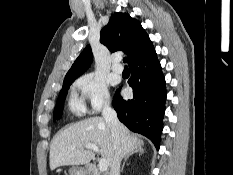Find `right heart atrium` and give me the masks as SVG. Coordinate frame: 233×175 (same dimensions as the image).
I'll return each mask as SVG.
<instances>
[{
  "label": "right heart atrium",
  "instance_id": "1",
  "mask_svg": "<svg viewBox=\"0 0 233 175\" xmlns=\"http://www.w3.org/2000/svg\"><path fill=\"white\" fill-rule=\"evenodd\" d=\"M73 88L78 92L82 104L88 106L92 113H98L110 104L107 84L93 74H85L79 77Z\"/></svg>",
  "mask_w": 233,
  "mask_h": 175
}]
</instances>
